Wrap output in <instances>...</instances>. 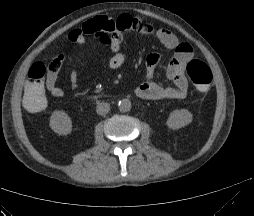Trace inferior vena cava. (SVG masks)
<instances>
[{
  "mask_svg": "<svg viewBox=\"0 0 254 216\" xmlns=\"http://www.w3.org/2000/svg\"><path fill=\"white\" fill-rule=\"evenodd\" d=\"M110 111V105L106 102H100L97 104L96 112L99 115H106Z\"/></svg>",
  "mask_w": 254,
  "mask_h": 216,
  "instance_id": "inferior-vena-cava-1",
  "label": "inferior vena cava"
}]
</instances>
